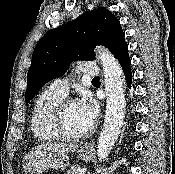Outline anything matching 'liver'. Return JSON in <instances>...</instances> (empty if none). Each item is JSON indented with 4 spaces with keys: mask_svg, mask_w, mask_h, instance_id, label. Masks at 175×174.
Returning <instances> with one entry per match:
<instances>
[{
    "mask_svg": "<svg viewBox=\"0 0 175 174\" xmlns=\"http://www.w3.org/2000/svg\"><path fill=\"white\" fill-rule=\"evenodd\" d=\"M78 148L77 145L71 144V143H63V144H57V143H47L43 145H39L37 147L32 148L31 152L35 151H54V152H61V153H69L74 152Z\"/></svg>",
    "mask_w": 175,
    "mask_h": 174,
    "instance_id": "obj_1",
    "label": "liver"
}]
</instances>
